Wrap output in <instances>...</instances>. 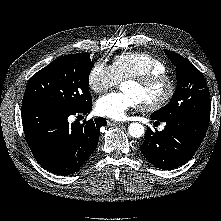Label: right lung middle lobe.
Returning <instances> with one entry per match:
<instances>
[{
    "instance_id": "obj_1",
    "label": "right lung middle lobe",
    "mask_w": 221,
    "mask_h": 221,
    "mask_svg": "<svg viewBox=\"0 0 221 221\" xmlns=\"http://www.w3.org/2000/svg\"><path fill=\"white\" fill-rule=\"evenodd\" d=\"M92 67L87 53L54 60L30 78L22 105L42 103L75 111L89 108L92 105L88 89Z\"/></svg>"
}]
</instances>
